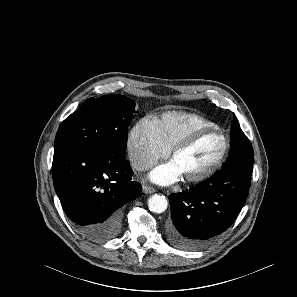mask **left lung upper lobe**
<instances>
[{
    "instance_id": "5c2ea615",
    "label": "left lung upper lobe",
    "mask_w": 297,
    "mask_h": 297,
    "mask_svg": "<svg viewBox=\"0 0 297 297\" xmlns=\"http://www.w3.org/2000/svg\"><path fill=\"white\" fill-rule=\"evenodd\" d=\"M230 146L232 150L222 168L253 167L254 153L251 142L241 130L235 116L231 123Z\"/></svg>"
}]
</instances>
